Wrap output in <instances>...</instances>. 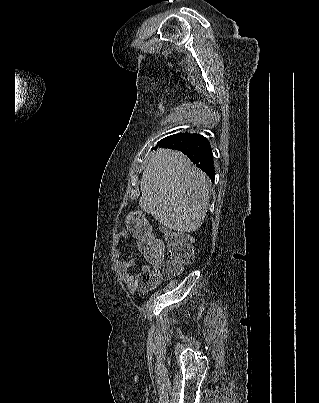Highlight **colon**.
I'll return each mask as SVG.
<instances>
[{"instance_id": "obj_1", "label": "colon", "mask_w": 319, "mask_h": 403, "mask_svg": "<svg viewBox=\"0 0 319 403\" xmlns=\"http://www.w3.org/2000/svg\"><path fill=\"white\" fill-rule=\"evenodd\" d=\"M126 224L130 233L138 239L143 257L153 265L152 269L137 276V289L140 292L152 291L160 281L181 274L184 267L192 263L194 249L186 233L165 231V252L162 241L151 234L149 222L143 214L131 213Z\"/></svg>"}]
</instances>
